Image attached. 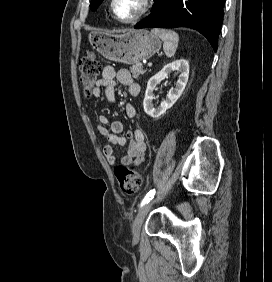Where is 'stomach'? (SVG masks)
Returning a JSON list of instances; mask_svg holds the SVG:
<instances>
[{"mask_svg":"<svg viewBox=\"0 0 272 282\" xmlns=\"http://www.w3.org/2000/svg\"><path fill=\"white\" fill-rule=\"evenodd\" d=\"M89 42L106 59L124 64H138L161 48L159 37L146 29H130L121 34L92 32Z\"/></svg>","mask_w":272,"mask_h":282,"instance_id":"obj_1","label":"stomach"}]
</instances>
